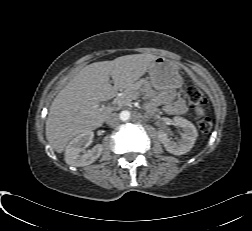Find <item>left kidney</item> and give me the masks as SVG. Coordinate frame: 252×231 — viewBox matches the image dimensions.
Wrapping results in <instances>:
<instances>
[{
	"mask_svg": "<svg viewBox=\"0 0 252 231\" xmlns=\"http://www.w3.org/2000/svg\"><path fill=\"white\" fill-rule=\"evenodd\" d=\"M173 124L182 129L181 138L175 142L168 139L163 132H158V138L165 149L174 155H183L191 150L198 136L196 127L187 119L179 116L173 118Z\"/></svg>",
	"mask_w": 252,
	"mask_h": 231,
	"instance_id": "5707ae66",
	"label": "left kidney"
}]
</instances>
